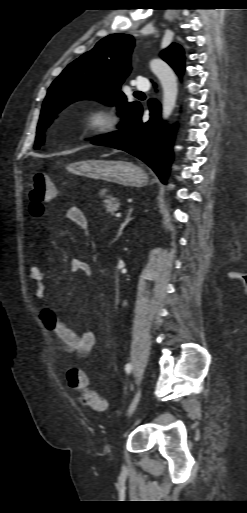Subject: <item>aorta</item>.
Segmentation results:
<instances>
[{
  "mask_svg": "<svg viewBox=\"0 0 247 513\" xmlns=\"http://www.w3.org/2000/svg\"><path fill=\"white\" fill-rule=\"evenodd\" d=\"M150 69L162 86V118L167 120L176 105L178 93L177 77L172 68L161 59H152L150 61Z\"/></svg>",
  "mask_w": 247,
  "mask_h": 513,
  "instance_id": "aorta-1",
  "label": "aorta"
}]
</instances>
